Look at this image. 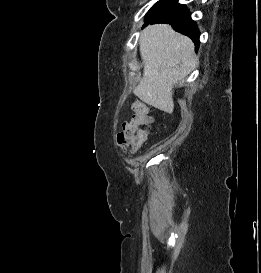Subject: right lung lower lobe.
<instances>
[{"label": "right lung lower lobe", "mask_w": 261, "mask_h": 273, "mask_svg": "<svg viewBox=\"0 0 261 273\" xmlns=\"http://www.w3.org/2000/svg\"><path fill=\"white\" fill-rule=\"evenodd\" d=\"M168 5L170 9L163 14L146 17L144 26L155 23L171 24L174 30L190 37L197 49L200 33L196 23L191 19L190 12L184 5L178 4L177 0H169Z\"/></svg>", "instance_id": "98d812e1"}]
</instances>
